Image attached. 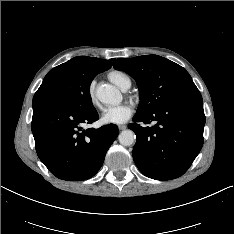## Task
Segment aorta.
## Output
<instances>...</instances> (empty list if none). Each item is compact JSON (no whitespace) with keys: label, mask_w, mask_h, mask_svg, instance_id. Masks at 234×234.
Instances as JSON below:
<instances>
[{"label":"aorta","mask_w":234,"mask_h":234,"mask_svg":"<svg viewBox=\"0 0 234 234\" xmlns=\"http://www.w3.org/2000/svg\"><path fill=\"white\" fill-rule=\"evenodd\" d=\"M98 99L104 104H114L120 101L119 91L110 84H101L96 89ZM118 140L123 146H130L135 141V134L132 130H124L119 136Z\"/></svg>","instance_id":"aorta-1"}]
</instances>
